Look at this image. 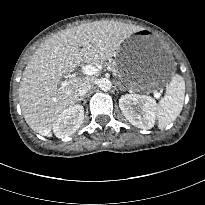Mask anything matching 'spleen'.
Instances as JSON below:
<instances>
[{"mask_svg":"<svg viewBox=\"0 0 205 205\" xmlns=\"http://www.w3.org/2000/svg\"><path fill=\"white\" fill-rule=\"evenodd\" d=\"M185 97V81L179 74H174L166 87V93L159 101L156 115L158 128L164 129L175 121L182 111Z\"/></svg>","mask_w":205,"mask_h":205,"instance_id":"spleen-1","label":"spleen"}]
</instances>
